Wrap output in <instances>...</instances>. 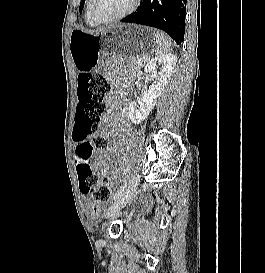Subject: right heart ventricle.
I'll list each match as a JSON object with an SVG mask.
<instances>
[{"label":"right heart ventricle","instance_id":"right-heart-ventricle-1","mask_svg":"<svg viewBox=\"0 0 265 273\" xmlns=\"http://www.w3.org/2000/svg\"><path fill=\"white\" fill-rule=\"evenodd\" d=\"M88 3H89V0H87V4H86L85 20H86V23H87L89 26H91V27H96V26H98L99 24H98L97 22H95L94 20H92L91 17L89 16L88 11H87Z\"/></svg>","mask_w":265,"mask_h":273}]
</instances>
